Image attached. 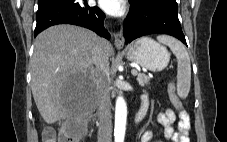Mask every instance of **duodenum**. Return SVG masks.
<instances>
[{
  "label": "duodenum",
  "mask_w": 227,
  "mask_h": 142,
  "mask_svg": "<svg viewBox=\"0 0 227 142\" xmlns=\"http://www.w3.org/2000/svg\"><path fill=\"white\" fill-rule=\"evenodd\" d=\"M147 108H148V105L147 103L145 102H142L138 112L136 113V116H135V123H139L140 121H142L147 113Z\"/></svg>",
  "instance_id": "1"
}]
</instances>
